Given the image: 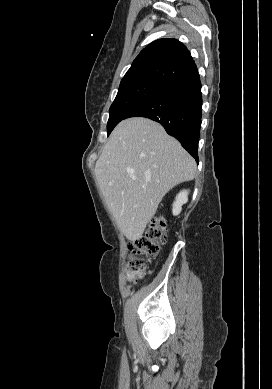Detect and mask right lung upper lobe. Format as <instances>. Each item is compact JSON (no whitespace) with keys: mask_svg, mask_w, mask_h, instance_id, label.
<instances>
[{"mask_svg":"<svg viewBox=\"0 0 272 389\" xmlns=\"http://www.w3.org/2000/svg\"><path fill=\"white\" fill-rule=\"evenodd\" d=\"M196 70V64L183 43L176 39H159L140 52L120 85L139 81L166 85Z\"/></svg>","mask_w":272,"mask_h":389,"instance_id":"cb5924a9","label":"right lung upper lobe"}]
</instances>
